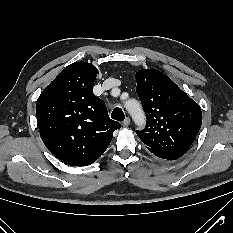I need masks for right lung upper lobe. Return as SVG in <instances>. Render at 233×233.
<instances>
[{
	"label": "right lung upper lobe",
	"instance_id": "cb5924a9",
	"mask_svg": "<svg viewBox=\"0 0 233 233\" xmlns=\"http://www.w3.org/2000/svg\"><path fill=\"white\" fill-rule=\"evenodd\" d=\"M97 68L86 62L67 66L40 94L38 128L49 151L62 162L88 166L109 146L121 127L93 94Z\"/></svg>",
	"mask_w": 233,
	"mask_h": 233
}]
</instances>
